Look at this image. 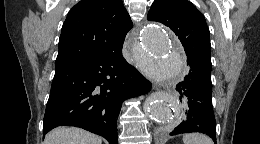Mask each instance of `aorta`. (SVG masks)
I'll return each mask as SVG.
<instances>
[{"label":"aorta","instance_id":"1","mask_svg":"<svg viewBox=\"0 0 260 144\" xmlns=\"http://www.w3.org/2000/svg\"><path fill=\"white\" fill-rule=\"evenodd\" d=\"M144 57L137 64L144 74L155 82H167L181 74L184 66L179 43L171 33L158 23H148L141 34ZM145 114L156 122L169 124L171 128L180 123L178 98L172 93L155 92L144 103Z\"/></svg>","mask_w":260,"mask_h":144}]
</instances>
